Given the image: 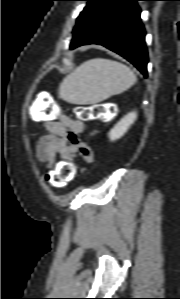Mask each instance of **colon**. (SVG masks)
<instances>
[{
    "mask_svg": "<svg viewBox=\"0 0 180 299\" xmlns=\"http://www.w3.org/2000/svg\"><path fill=\"white\" fill-rule=\"evenodd\" d=\"M76 111L83 120L96 119L106 114L104 105L79 106ZM57 114L56 108L51 105L45 111L44 116L55 117ZM75 174L76 170L73 165L59 163L52 171L46 174V181L56 188H62L74 179Z\"/></svg>",
    "mask_w": 180,
    "mask_h": 299,
    "instance_id": "obj_1",
    "label": "colon"
}]
</instances>
